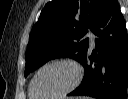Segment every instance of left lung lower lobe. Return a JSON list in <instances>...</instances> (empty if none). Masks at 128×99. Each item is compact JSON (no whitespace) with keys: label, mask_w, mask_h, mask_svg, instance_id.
<instances>
[{"label":"left lung lower lobe","mask_w":128,"mask_h":99,"mask_svg":"<svg viewBox=\"0 0 128 99\" xmlns=\"http://www.w3.org/2000/svg\"><path fill=\"white\" fill-rule=\"evenodd\" d=\"M92 32L96 50L87 63V52L79 61L85 69L81 85L68 96L126 99L128 85V35L117 0H107Z\"/></svg>","instance_id":"left-lung-lower-lobe-1"}]
</instances>
